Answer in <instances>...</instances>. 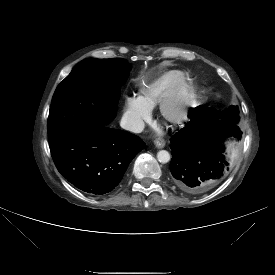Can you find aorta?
<instances>
[{"label":"aorta","instance_id":"762f6f07","mask_svg":"<svg viewBox=\"0 0 275 275\" xmlns=\"http://www.w3.org/2000/svg\"><path fill=\"white\" fill-rule=\"evenodd\" d=\"M170 154L168 151L166 150H160L158 153H157V159L160 163H167L170 161Z\"/></svg>","mask_w":275,"mask_h":275}]
</instances>
